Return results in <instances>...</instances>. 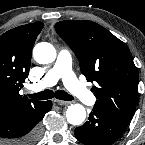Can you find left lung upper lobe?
<instances>
[{
	"instance_id": "5c2ea615",
	"label": "left lung upper lobe",
	"mask_w": 145,
	"mask_h": 145,
	"mask_svg": "<svg viewBox=\"0 0 145 145\" xmlns=\"http://www.w3.org/2000/svg\"><path fill=\"white\" fill-rule=\"evenodd\" d=\"M55 30L75 52L87 81L98 84L92 88L97 98L94 107L129 122L137 102L139 73L126 44L92 21H60Z\"/></svg>"
}]
</instances>
